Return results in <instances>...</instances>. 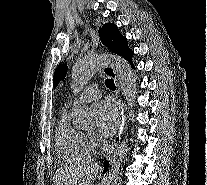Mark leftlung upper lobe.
Wrapping results in <instances>:
<instances>
[{
  "instance_id": "1",
  "label": "left lung upper lobe",
  "mask_w": 207,
  "mask_h": 185,
  "mask_svg": "<svg viewBox=\"0 0 207 185\" xmlns=\"http://www.w3.org/2000/svg\"><path fill=\"white\" fill-rule=\"evenodd\" d=\"M101 42L108 47L112 52L124 57L131 62L133 51L128 47L127 39L118 31V27L112 23H106L99 29ZM67 72V65L60 66L54 73V87L57 86L60 80L64 79Z\"/></svg>"
}]
</instances>
